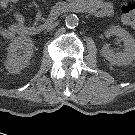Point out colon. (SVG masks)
I'll list each match as a JSON object with an SVG mask.
<instances>
[{
  "instance_id": "1",
  "label": "colon",
  "mask_w": 135,
  "mask_h": 135,
  "mask_svg": "<svg viewBox=\"0 0 135 135\" xmlns=\"http://www.w3.org/2000/svg\"><path fill=\"white\" fill-rule=\"evenodd\" d=\"M119 13L123 23L135 30V2L122 3Z\"/></svg>"
}]
</instances>
